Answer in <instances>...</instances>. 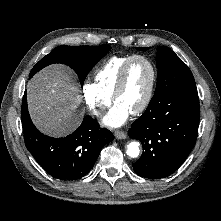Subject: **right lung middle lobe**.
Masks as SVG:
<instances>
[{"label":"right lung middle lobe","instance_id":"dd1d6c3e","mask_svg":"<svg viewBox=\"0 0 221 221\" xmlns=\"http://www.w3.org/2000/svg\"><path fill=\"white\" fill-rule=\"evenodd\" d=\"M110 49L111 47L108 44L101 46H58L33 67L30 77L47 65L63 63L68 64L75 70L81 84H83L89 71Z\"/></svg>","mask_w":221,"mask_h":221}]
</instances>
